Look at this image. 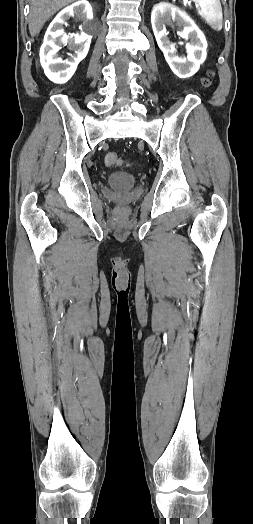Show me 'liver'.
<instances>
[{"instance_id":"6515ba94","label":"liver","mask_w":253,"mask_h":524,"mask_svg":"<svg viewBox=\"0 0 253 524\" xmlns=\"http://www.w3.org/2000/svg\"><path fill=\"white\" fill-rule=\"evenodd\" d=\"M75 2V0H29V32L36 36L44 23L61 8Z\"/></svg>"}]
</instances>
